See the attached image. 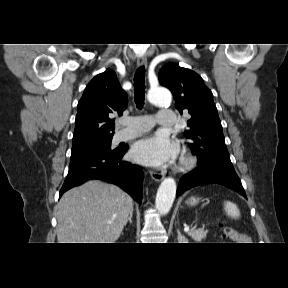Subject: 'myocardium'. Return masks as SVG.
<instances>
[{
    "label": "myocardium",
    "mask_w": 288,
    "mask_h": 288,
    "mask_svg": "<svg viewBox=\"0 0 288 288\" xmlns=\"http://www.w3.org/2000/svg\"><path fill=\"white\" fill-rule=\"evenodd\" d=\"M188 162H189V161H188L187 159L184 160V164H188Z\"/></svg>",
    "instance_id": "myocardium-1"
}]
</instances>
